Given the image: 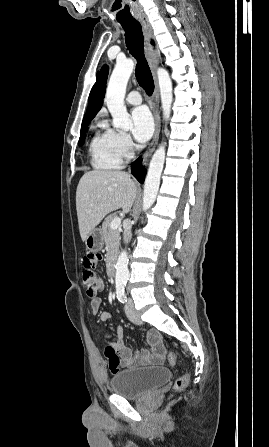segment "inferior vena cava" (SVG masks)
Masks as SVG:
<instances>
[{
  "instance_id": "obj_1",
  "label": "inferior vena cava",
  "mask_w": 269,
  "mask_h": 447,
  "mask_svg": "<svg viewBox=\"0 0 269 447\" xmlns=\"http://www.w3.org/2000/svg\"><path fill=\"white\" fill-rule=\"evenodd\" d=\"M131 225H128V227H125L124 229V241L125 243H128L129 239H131Z\"/></svg>"
}]
</instances>
